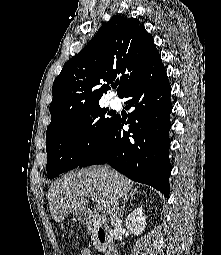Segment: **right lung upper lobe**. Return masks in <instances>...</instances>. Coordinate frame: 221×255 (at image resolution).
Here are the masks:
<instances>
[{"label": "right lung upper lobe", "mask_w": 221, "mask_h": 255, "mask_svg": "<svg viewBox=\"0 0 221 255\" xmlns=\"http://www.w3.org/2000/svg\"><path fill=\"white\" fill-rule=\"evenodd\" d=\"M159 57L152 35L138 19L113 16L55 79L47 132L73 113L99 103L113 81H120L121 97Z\"/></svg>", "instance_id": "obj_1"}]
</instances>
